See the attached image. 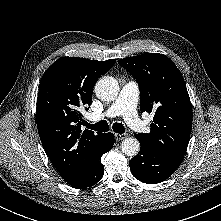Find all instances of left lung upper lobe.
<instances>
[{"instance_id": "obj_1", "label": "left lung upper lobe", "mask_w": 221, "mask_h": 221, "mask_svg": "<svg viewBox=\"0 0 221 221\" xmlns=\"http://www.w3.org/2000/svg\"><path fill=\"white\" fill-rule=\"evenodd\" d=\"M137 80L141 112L154 113L150 133H138L140 145L154 152L184 157L192 129V106L183 76L159 53L118 61Z\"/></svg>"}]
</instances>
